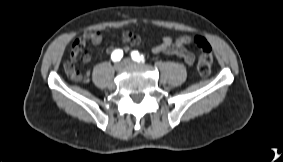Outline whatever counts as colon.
Masks as SVG:
<instances>
[{
	"mask_svg": "<svg viewBox=\"0 0 283 162\" xmlns=\"http://www.w3.org/2000/svg\"><path fill=\"white\" fill-rule=\"evenodd\" d=\"M192 41L199 49L197 70L201 76L207 77L210 75L212 70L211 46L207 40L201 36L192 37ZM70 75L73 79L78 81H87L89 79V74L80 73L78 71L71 72Z\"/></svg>",
	"mask_w": 283,
	"mask_h": 162,
	"instance_id": "5ec220e1",
	"label": "colon"
}]
</instances>
